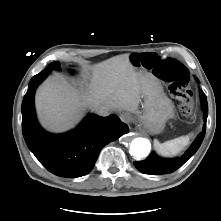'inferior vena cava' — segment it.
Masks as SVG:
<instances>
[{
	"instance_id": "inferior-vena-cava-1",
	"label": "inferior vena cava",
	"mask_w": 221,
	"mask_h": 221,
	"mask_svg": "<svg viewBox=\"0 0 221 221\" xmlns=\"http://www.w3.org/2000/svg\"><path fill=\"white\" fill-rule=\"evenodd\" d=\"M95 112L100 116H107L109 114V109L105 107L96 108Z\"/></svg>"
}]
</instances>
